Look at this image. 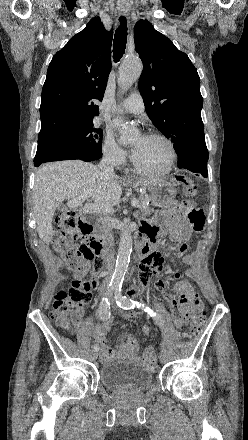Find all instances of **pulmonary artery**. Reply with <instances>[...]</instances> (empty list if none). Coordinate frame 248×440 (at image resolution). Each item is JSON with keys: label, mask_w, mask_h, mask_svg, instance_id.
Segmentation results:
<instances>
[{"label": "pulmonary artery", "mask_w": 248, "mask_h": 440, "mask_svg": "<svg viewBox=\"0 0 248 440\" xmlns=\"http://www.w3.org/2000/svg\"><path fill=\"white\" fill-rule=\"evenodd\" d=\"M145 106L142 96L135 92L130 94L120 105V110L131 114H141Z\"/></svg>", "instance_id": "1"}]
</instances>
